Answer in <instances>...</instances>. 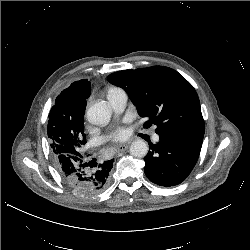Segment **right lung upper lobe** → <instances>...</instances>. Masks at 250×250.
Segmentation results:
<instances>
[{"instance_id": "obj_1", "label": "right lung upper lobe", "mask_w": 250, "mask_h": 250, "mask_svg": "<svg viewBox=\"0 0 250 250\" xmlns=\"http://www.w3.org/2000/svg\"><path fill=\"white\" fill-rule=\"evenodd\" d=\"M90 82L87 79L76 81L57 96L55 105L49 113V120L56 119L71 130L82 118L86 99L90 96Z\"/></svg>"}]
</instances>
